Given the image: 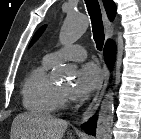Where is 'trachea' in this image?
Segmentation results:
<instances>
[{"instance_id":"trachea-1","label":"trachea","mask_w":141,"mask_h":139,"mask_svg":"<svg viewBox=\"0 0 141 139\" xmlns=\"http://www.w3.org/2000/svg\"><path fill=\"white\" fill-rule=\"evenodd\" d=\"M88 13L92 21L93 39L96 43L97 49L102 50L105 35L102 22V14L98 0H84Z\"/></svg>"}]
</instances>
